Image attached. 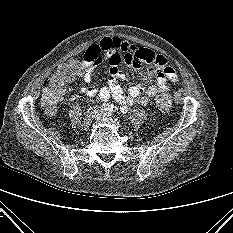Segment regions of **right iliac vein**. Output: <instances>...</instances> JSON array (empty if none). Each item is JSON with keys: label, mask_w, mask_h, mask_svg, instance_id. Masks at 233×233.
<instances>
[{"label": "right iliac vein", "mask_w": 233, "mask_h": 233, "mask_svg": "<svg viewBox=\"0 0 233 233\" xmlns=\"http://www.w3.org/2000/svg\"><path fill=\"white\" fill-rule=\"evenodd\" d=\"M98 113L99 112L96 108H90L88 110L86 116L84 117L83 123H82L83 130H87L89 128L93 119H95V117L97 116Z\"/></svg>", "instance_id": "1"}]
</instances>
